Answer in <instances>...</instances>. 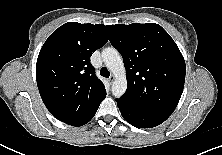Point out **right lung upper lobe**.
Masks as SVG:
<instances>
[{
    "label": "right lung upper lobe",
    "instance_id": "right-lung-upper-lobe-1",
    "mask_svg": "<svg viewBox=\"0 0 222 155\" xmlns=\"http://www.w3.org/2000/svg\"><path fill=\"white\" fill-rule=\"evenodd\" d=\"M107 41L103 24L68 22L44 43L36 63L37 85L45 106L60 121L86 116L106 97L90 57Z\"/></svg>",
    "mask_w": 222,
    "mask_h": 155
}]
</instances>
